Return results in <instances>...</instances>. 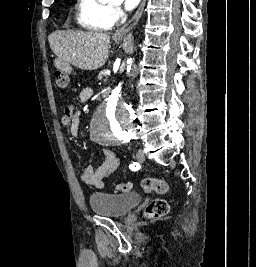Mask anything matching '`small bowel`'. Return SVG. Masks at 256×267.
Listing matches in <instances>:
<instances>
[{"mask_svg": "<svg viewBox=\"0 0 256 267\" xmlns=\"http://www.w3.org/2000/svg\"><path fill=\"white\" fill-rule=\"evenodd\" d=\"M93 96V89L86 87L81 90L79 97L81 101H89ZM61 123L65 127H69L73 137L79 135V121L78 112L75 107L69 106L65 109L64 116L61 119ZM104 158L97 165L86 166L80 173V180L82 183L93 188H102L105 180L115 173L120 165V158L110 148H105L103 151Z\"/></svg>", "mask_w": 256, "mask_h": 267, "instance_id": "c3829d8e", "label": "small bowel"}]
</instances>
